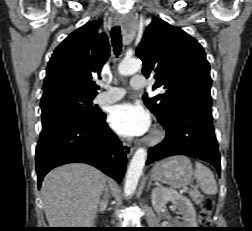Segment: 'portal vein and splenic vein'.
<instances>
[{"mask_svg":"<svg viewBox=\"0 0 252 231\" xmlns=\"http://www.w3.org/2000/svg\"><path fill=\"white\" fill-rule=\"evenodd\" d=\"M187 190H188L187 187H184V188H182V189L180 190V193H181V194H184V193L187 192Z\"/></svg>","mask_w":252,"mask_h":231,"instance_id":"obj_1","label":"portal vein and splenic vein"}]
</instances>
